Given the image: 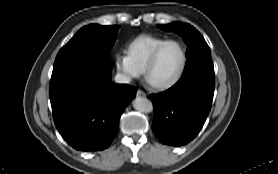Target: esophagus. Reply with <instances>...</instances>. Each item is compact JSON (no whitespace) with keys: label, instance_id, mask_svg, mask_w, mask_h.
Returning a JSON list of instances; mask_svg holds the SVG:
<instances>
[{"label":"esophagus","instance_id":"34e87169","mask_svg":"<svg viewBox=\"0 0 278 174\" xmlns=\"http://www.w3.org/2000/svg\"><path fill=\"white\" fill-rule=\"evenodd\" d=\"M137 95H139V96H145L146 94H145L144 91L138 90V91H137Z\"/></svg>","mask_w":278,"mask_h":174}]
</instances>
